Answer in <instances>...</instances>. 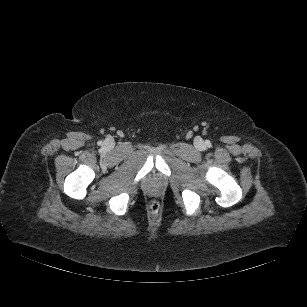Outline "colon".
I'll list each match as a JSON object with an SVG mask.
<instances>
[{"label": "colon", "mask_w": 307, "mask_h": 307, "mask_svg": "<svg viewBox=\"0 0 307 307\" xmlns=\"http://www.w3.org/2000/svg\"><path fill=\"white\" fill-rule=\"evenodd\" d=\"M150 209L152 212H158V210L160 209V204L157 201H152L150 203Z\"/></svg>", "instance_id": "colon-1"}]
</instances>
